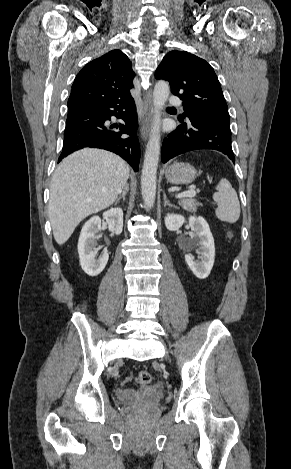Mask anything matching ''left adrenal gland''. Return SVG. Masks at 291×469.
Listing matches in <instances>:
<instances>
[{"instance_id": "left-adrenal-gland-1", "label": "left adrenal gland", "mask_w": 291, "mask_h": 469, "mask_svg": "<svg viewBox=\"0 0 291 469\" xmlns=\"http://www.w3.org/2000/svg\"><path fill=\"white\" fill-rule=\"evenodd\" d=\"M163 198H164V207L170 206V207L178 208L176 205L171 204V203L167 200V196H166L165 193H163Z\"/></svg>"}]
</instances>
